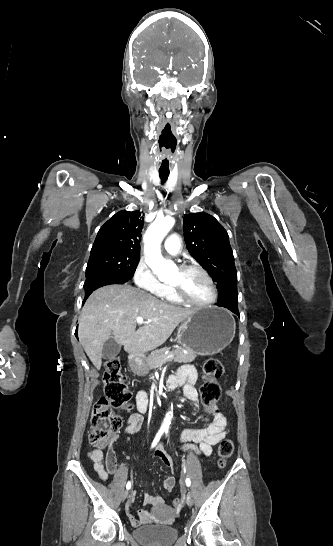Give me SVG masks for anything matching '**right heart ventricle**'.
<instances>
[{
  "label": "right heart ventricle",
  "mask_w": 333,
  "mask_h": 546,
  "mask_svg": "<svg viewBox=\"0 0 333 546\" xmlns=\"http://www.w3.org/2000/svg\"><path fill=\"white\" fill-rule=\"evenodd\" d=\"M162 298L172 303H181V301L174 295L171 286H166V290L163 293Z\"/></svg>",
  "instance_id": "e07e8e85"
}]
</instances>
